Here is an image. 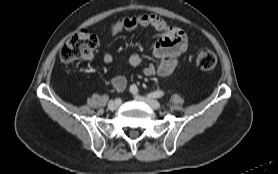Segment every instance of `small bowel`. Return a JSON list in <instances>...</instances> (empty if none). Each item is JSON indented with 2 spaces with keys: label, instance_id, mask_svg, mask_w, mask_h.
<instances>
[{
  "label": "small bowel",
  "instance_id": "small-bowel-1",
  "mask_svg": "<svg viewBox=\"0 0 278 174\" xmlns=\"http://www.w3.org/2000/svg\"><path fill=\"white\" fill-rule=\"evenodd\" d=\"M137 27H152L161 34L153 48V55L158 64H148L142 68L147 76L159 75L169 76L179 64V58L187 49L188 39L185 32L177 27L168 24L165 20L154 14H141L138 16L122 17L110 24L107 33L111 36L118 35L124 30H132ZM102 59L106 63L113 60L109 52H104ZM143 58L139 53H133L129 57V64L138 67L142 64ZM126 79L123 76H116L111 80L112 87L121 92L126 87Z\"/></svg>",
  "mask_w": 278,
  "mask_h": 174
}]
</instances>
